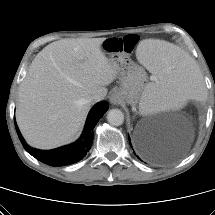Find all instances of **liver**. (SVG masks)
Returning <instances> with one entry per match:
<instances>
[{
    "instance_id": "obj_1",
    "label": "liver",
    "mask_w": 215,
    "mask_h": 215,
    "mask_svg": "<svg viewBox=\"0 0 215 215\" xmlns=\"http://www.w3.org/2000/svg\"><path fill=\"white\" fill-rule=\"evenodd\" d=\"M104 40L63 39L36 55L20 84L16 110L29 145L52 149L77 137L93 104L90 98L106 96V86L118 76L101 50Z\"/></svg>"
}]
</instances>
